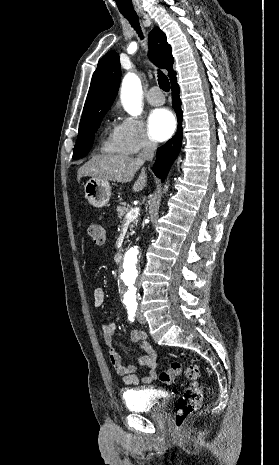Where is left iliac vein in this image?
<instances>
[{"mask_svg":"<svg viewBox=\"0 0 279 465\" xmlns=\"http://www.w3.org/2000/svg\"><path fill=\"white\" fill-rule=\"evenodd\" d=\"M136 316H137V320H138V322H139L140 324H145V323H146V319H145V317H144V315L142 314V312H141L140 309H138Z\"/></svg>","mask_w":279,"mask_h":465,"instance_id":"4c4485c4","label":"left iliac vein"}]
</instances>
